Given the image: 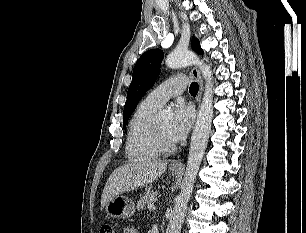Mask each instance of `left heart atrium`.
I'll return each instance as SVG.
<instances>
[{"instance_id": "obj_1", "label": "left heart atrium", "mask_w": 306, "mask_h": 233, "mask_svg": "<svg viewBox=\"0 0 306 233\" xmlns=\"http://www.w3.org/2000/svg\"><path fill=\"white\" fill-rule=\"evenodd\" d=\"M173 113L168 135L172 142H180L186 137L192 126L194 111L191 106L178 102L174 106Z\"/></svg>"}]
</instances>
